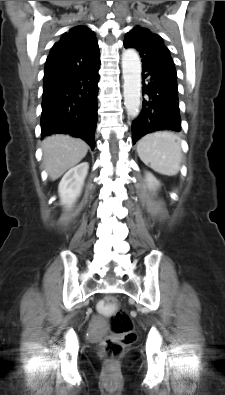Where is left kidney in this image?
<instances>
[{
  "instance_id": "5707ae66",
  "label": "left kidney",
  "mask_w": 225,
  "mask_h": 395,
  "mask_svg": "<svg viewBox=\"0 0 225 395\" xmlns=\"http://www.w3.org/2000/svg\"><path fill=\"white\" fill-rule=\"evenodd\" d=\"M145 178L150 190H156L160 186L159 181L150 172L146 173Z\"/></svg>"
}]
</instances>
